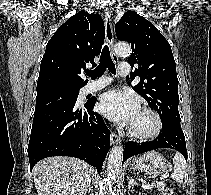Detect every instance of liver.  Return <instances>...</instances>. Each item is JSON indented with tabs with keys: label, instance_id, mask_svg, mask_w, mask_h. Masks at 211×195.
Masks as SVG:
<instances>
[{
	"label": "liver",
	"instance_id": "6515ba94",
	"mask_svg": "<svg viewBox=\"0 0 211 195\" xmlns=\"http://www.w3.org/2000/svg\"><path fill=\"white\" fill-rule=\"evenodd\" d=\"M88 164L73 157L54 156L33 169L38 195H84L91 182Z\"/></svg>",
	"mask_w": 211,
	"mask_h": 195
}]
</instances>
